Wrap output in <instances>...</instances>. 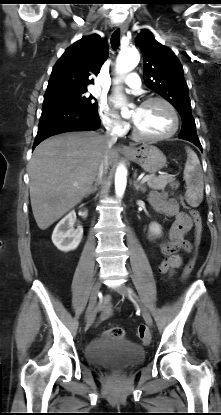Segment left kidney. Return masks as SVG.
<instances>
[{"label": "left kidney", "instance_id": "left-kidney-1", "mask_svg": "<svg viewBox=\"0 0 221 415\" xmlns=\"http://www.w3.org/2000/svg\"><path fill=\"white\" fill-rule=\"evenodd\" d=\"M161 234H162L161 226L156 222H152L149 225V238H151V237L156 238V237L161 236Z\"/></svg>", "mask_w": 221, "mask_h": 415}]
</instances>
